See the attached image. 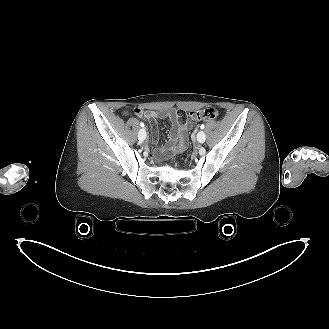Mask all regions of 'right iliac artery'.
<instances>
[{"mask_svg":"<svg viewBox=\"0 0 329 329\" xmlns=\"http://www.w3.org/2000/svg\"><path fill=\"white\" fill-rule=\"evenodd\" d=\"M140 126H141V127H144L145 125H144V123H143V122H141V123H140Z\"/></svg>","mask_w":329,"mask_h":329,"instance_id":"82829eb1","label":"right iliac artery"}]
</instances>
